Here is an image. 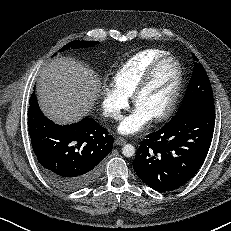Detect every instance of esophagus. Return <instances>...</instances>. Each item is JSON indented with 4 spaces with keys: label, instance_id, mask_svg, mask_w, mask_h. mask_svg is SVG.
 Here are the masks:
<instances>
[{
    "label": "esophagus",
    "instance_id": "esophagus-1",
    "mask_svg": "<svg viewBox=\"0 0 231 231\" xmlns=\"http://www.w3.org/2000/svg\"><path fill=\"white\" fill-rule=\"evenodd\" d=\"M127 143V140L122 137H117L115 139V145L122 146Z\"/></svg>",
    "mask_w": 231,
    "mask_h": 231
}]
</instances>
